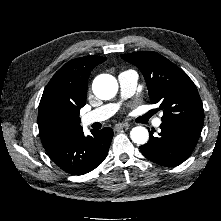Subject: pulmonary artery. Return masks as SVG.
<instances>
[{
  "label": "pulmonary artery",
  "instance_id": "obj_1",
  "mask_svg": "<svg viewBox=\"0 0 221 221\" xmlns=\"http://www.w3.org/2000/svg\"><path fill=\"white\" fill-rule=\"evenodd\" d=\"M118 81L120 86L121 97L124 99L129 98L134 94L136 90L138 75L133 70L122 71L118 75ZM118 108L119 103H110L103 105L97 109L92 110L91 112L86 113L82 117V123L84 125H90L95 122L104 121L111 117L113 114H115ZM161 123V118H156L153 122V125L155 127H159Z\"/></svg>",
  "mask_w": 221,
  "mask_h": 221
}]
</instances>
